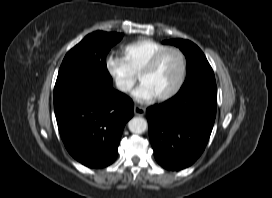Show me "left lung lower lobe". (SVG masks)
Returning a JSON list of instances; mask_svg holds the SVG:
<instances>
[{"label":"left lung lower lobe","mask_w":272,"mask_h":198,"mask_svg":"<svg viewBox=\"0 0 272 198\" xmlns=\"http://www.w3.org/2000/svg\"><path fill=\"white\" fill-rule=\"evenodd\" d=\"M215 82L194 84L147 109L149 136L157 162L168 170L192 165L204 151L216 116Z\"/></svg>","instance_id":"obj_1"}]
</instances>
